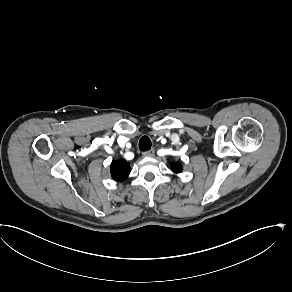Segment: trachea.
I'll list each match as a JSON object with an SVG mask.
<instances>
[{
    "mask_svg": "<svg viewBox=\"0 0 292 292\" xmlns=\"http://www.w3.org/2000/svg\"><path fill=\"white\" fill-rule=\"evenodd\" d=\"M152 146L151 140L148 136L144 135L139 140V149L141 151H148Z\"/></svg>",
    "mask_w": 292,
    "mask_h": 292,
    "instance_id": "3493384b",
    "label": "trachea"
}]
</instances>
